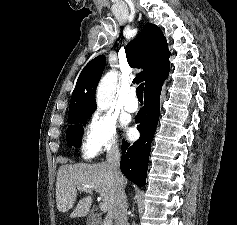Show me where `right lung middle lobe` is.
<instances>
[{
	"label": "right lung middle lobe",
	"instance_id": "obj_1",
	"mask_svg": "<svg viewBox=\"0 0 237 225\" xmlns=\"http://www.w3.org/2000/svg\"><path fill=\"white\" fill-rule=\"evenodd\" d=\"M91 117V114L82 111H70L68 113V130L66 132V140L70 147H80V140L83 134L82 124Z\"/></svg>",
	"mask_w": 237,
	"mask_h": 225
}]
</instances>
